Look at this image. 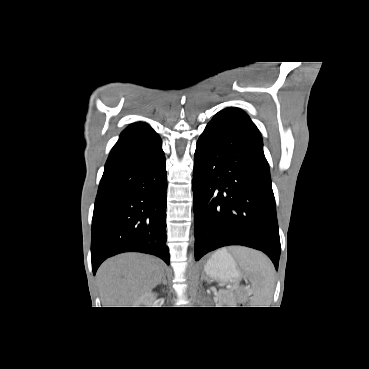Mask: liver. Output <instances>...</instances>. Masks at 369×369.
<instances>
[{"label": "liver", "instance_id": "1", "mask_svg": "<svg viewBox=\"0 0 369 369\" xmlns=\"http://www.w3.org/2000/svg\"><path fill=\"white\" fill-rule=\"evenodd\" d=\"M163 273V262L145 254L125 253L106 260L97 272L103 307L132 305L161 282Z\"/></svg>", "mask_w": 369, "mask_h": 369}]
</instances>
